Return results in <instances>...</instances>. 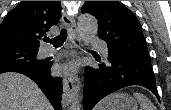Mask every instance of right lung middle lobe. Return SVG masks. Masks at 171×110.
I'll use <instances>...</instances> for the list:
<instances>
[{"instance_id": "obj_1", "label": "right lung middle lobe", "mask_w": 171, "mask_h": 110, "mask_svg": "<svg viewBox=\"0 0 171 110\" xmlns=\"http://www.w3.org/2000/svg\"><path fill=\"white\" fill-rule=\"evenodd\" d=\"M38 49L5 46L0 47V72L9 71L15 68L33 67L38 68L45 64L36 58Z\"/></svg>"}]
</instances>
